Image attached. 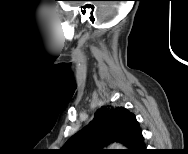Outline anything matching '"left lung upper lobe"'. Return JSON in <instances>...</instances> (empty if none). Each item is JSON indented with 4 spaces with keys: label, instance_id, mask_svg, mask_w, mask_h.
I'll return each mask as SVG.
<instances>
[{
    "label": "left lung upper lobe",
    "instance_id": "5c2ea615",
    "mask_svg": "<svg viewBox=\"0 0 188 154\" xmlns=\"http://www.w3.org/2000/svg\"><path fill=\"white\" fill-rule=\"evenodd\" d=\"M134 116L124 107L103 106L95 112L94 119L72 136L62 147L67 154H106L109 143H125L129 123Z\"/></svg>",
    "mask_w": 188,
    "mask_h": 154
}]
</instances>
